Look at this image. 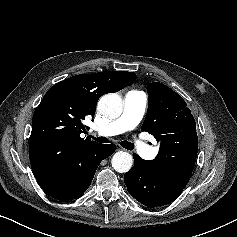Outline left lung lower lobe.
I'll list each match as a JSON object with an SVG mask.
<instances>
[{"label":"left lung lower lobe","mask_w":237,"mask_h":237,"mask_svg":"<svg viewBox=\"0 0 237 237\" xmlns=\"http://www.w3.org/2000/svg\"><path fill=\"white\" fill-rule=\"evenodd\" d=\"M134 166L125 173L127 190L143 205L154 208L174 201L191 178V174L169 171L153 160L133 154Z\"/></svg>","instance_id":"left-lung-lower-lobe-1"}]
</instances>
